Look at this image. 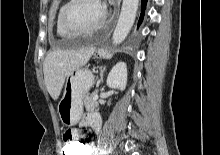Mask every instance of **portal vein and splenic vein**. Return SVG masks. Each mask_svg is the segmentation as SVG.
<instances>
[{"label":"portal vein and splenic vein","instance_id":"portal-vein-and-splenic-vein-1","mask_svg":"<svg viewBox=\"0 0 220 155\" xmlns=\"http://www.w3.org/2000/svg\"><path fill=\"white\" fill-rule=\"evenodd\" d=\"M97 99H98V93H97V92H95V93H94L93 100H97Z\"/></svg>","mask_w":220,"mask_h":155}]
</instances>
